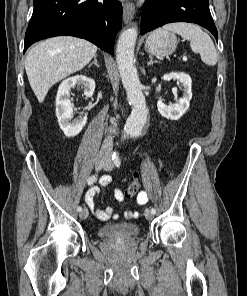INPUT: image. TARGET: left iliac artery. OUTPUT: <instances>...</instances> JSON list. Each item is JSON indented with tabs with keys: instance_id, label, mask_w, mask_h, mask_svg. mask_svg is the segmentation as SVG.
Returning <instances> with one entry per match:
<instances>
[{
	"instance_id": "obj_1",
	"label": "left iliac artery",
	"mask_w": 247,
	"mask_h": 296,
	"mask_svg": "<svg viewBox=\"0 0 247 296\" xmlns=\"http://www.w3.org/2000/svg\"><path fill=\"white\" fill-rule=\"evenodd\" d=\"M112 160L114 161V164L119 167L121 165V161H120V157H119V154L118 153H114L113 154V157H112ZM151 212L153 214L156 213V210L154 208L151 209Z\"/></svg>"
}]
</instances>
